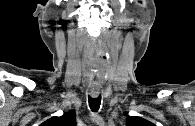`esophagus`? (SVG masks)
<instances>
[{
    "label": "esophagus",
    "instance_id": "1",
    "mask_svg": "<svg viewBox=\"0 0 195 126\" xmlns=\"http://www.w3.org/2000/svg\"><path fill=\"white\" fill-rule=\"evenodd\" d=\"M91 94H92L93 97H97V95L99 94V89L95 88V87H92L91 88Z\"/></svg>",
    "mask_w": 195,
    "mask_h": 126
}]
</instances>
